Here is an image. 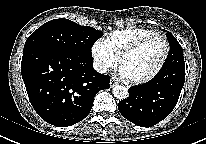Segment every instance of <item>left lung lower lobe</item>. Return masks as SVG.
Wrapping results in <instances>:
<instances>
[{
	"mask_svg": "<svg viewBox=\"0 0 206 144\" xmlns=\"http://www.w3.org/2000/svg\"><path fill=\"white\" fill-rule=\"evenodd\" d=\"M184 81L185 65H170L148 83L130 88L129 97L118 103V109L124 118L138 126H154L172 112Z\"/></svg>",
	"mask_w": 206,
	"mask_h": 144,
	"instance_id": "1",
	"label": "left lung lower lobe"
}]
</instances>
